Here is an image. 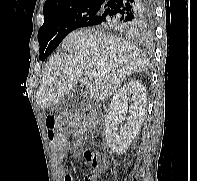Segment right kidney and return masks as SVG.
<instances>
[{
  "label": "right kidney",
  "instance_id": "right-kidney-1",
  "mask_svg": "<svg viewBox=\"0 0 197 181\" xmlns=\"http://www.w3.org/2000/svg\"><path fill=\"white\" fill-rule=\"evenodd\" d=\"M146 102V88L139 81L125 83L114 94L105 119V139L113 152L123 154L127 151L143 123ZM127 111L130 113L128 122L119 128L122 114Z\"/></svg>",
  "mask_w": 197,
  "mask_h": 181
}]
</instances>
